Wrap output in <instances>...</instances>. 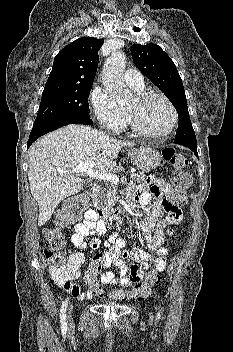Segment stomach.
Segmentation results:
<instances>
[{
	"label": "stomach",
	"instance_id": "stomach-1",
	"mask_svg": "<svg viewBox=\"0 0 233 352\" xmlns=\"http://www.w3.org/2000/svg\"><path fill=\"white\" fill-rule=\"evenodd\" d=\"M134 165L142 170L149 172L157 168L161 163V156L158 151L151 147H140L129 152Z\"/></svg>",
	"mask_w": 233,
	"mask_h": 352
}]
</instances>
